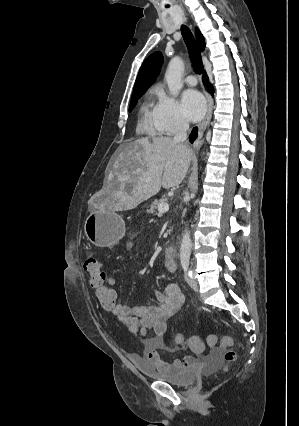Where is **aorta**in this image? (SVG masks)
<instances>
[{"label":"aorta","mask_w":299,"mask_h":426,"mask_svg":"<svg viewBox=\"0 0 299 426\" xmlns=\"http://www.w3.org/2000/svg\"><path fill=\"white\" fill-rule=\"evenodd\" d=\"M184 72L183 60L175 56L173 57L167 67L165 73V80L168 85L169 91L173 96L179 94L183 87L182 75ZM191 254V238L189 230H186L182 236L180 247V260L181 262H189Z\"/></svg>","instance_id":"aorta-1"}]
</instances>
